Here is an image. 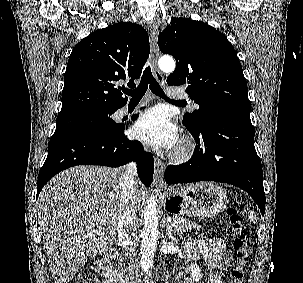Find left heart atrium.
<instances>
[{"label": "left heart atrium", "mask_w": 303, "mask_h": 283, "mask_svg": "<svg viewBox=\"0 0 303 283\" xmlns=\"http://www.w3.org/2000/svg\"><path fill=\"white\" fill-rule=\"evenodd\" d=\"M133 134L138 140L156 148H172L178 140L176 127L161 107L144 112L136 121Z\"/></svg>", "instance_id": "left-heart-atrium-1"}]
</instances>
